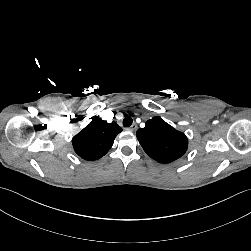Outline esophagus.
<instances>
[{"label": "esophagus", "mask_w": 251, "mask_h": 251, "mask_svg": "<svg viewBox=\"0 0 251 251\" xmlns=\"http://www.w3.org/2000/svg\"><path fill=\"white\" fill-rule=\"evenodd\" d=\"M136 128H137V125L134 123V124H132V125L128 128V130L131 131V132H133V131L136 130Z\"/></svg>", "instance_id": "obj_1"}]
</instances>
